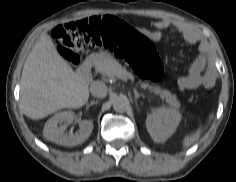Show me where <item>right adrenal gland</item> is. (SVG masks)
Returning a JSON list of instances; mask_svg holds the SVG:
<instances>
[{
    "label": "right adrenal gland",
    "instance_id": "1",
    "mask_svg": "<svg viewBox=\"0 0 236 182\" xmlns=\"http://www.w3.org/2000/svg\"><path fill=\"white\" fill-rule=\"evenodd\" d=\"M94 104H98V101H92L89 106H92Z\"/></svg>",
    "mask_w": 236,
    "mask_h": 182
}]
</instances>
